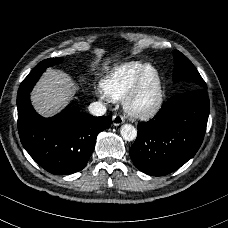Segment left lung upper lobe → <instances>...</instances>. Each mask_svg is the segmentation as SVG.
<instances>
[{"label": "left lung upper lobe", "instance_id": "1", "mask_svg": "<svg viewBox=\"0 0 228 228\" xmlns=\"http://www.w3.org/2000/svg\"><path fill=\"white\" fill-rule=\"evenodd\" d=\"M175 66L173 70V82L183 83L187 89L195 90L207 88L206 83L200 76L197 69L191 61L184 56L181 52H174Z\"/></svg>", "mask_w": 228, "mask_h": 228}]
</instances>
